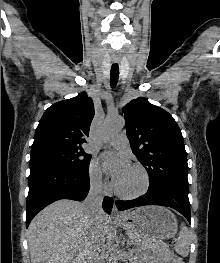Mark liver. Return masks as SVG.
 Returning a JSON list of instances; mask_svg holds the SVG:
<instances>
[{
	"label": "liver",
	"mask_w": 220,
	"mask_h": 263,
	"mask_svg": "<svg viewBox=\"0 0 220 263\" xmlns=\"http://www.w3.org/2000/svg\"><path fill=\"white\" fill-rule=\"evenodd\" d=\"M111 219L103 212L92 221L84 203L56 201L31 221L27 235L31 263H88L93 236H105Z\"/></svg>",
	"instance_id": "obj_1"
}]
</instances>
